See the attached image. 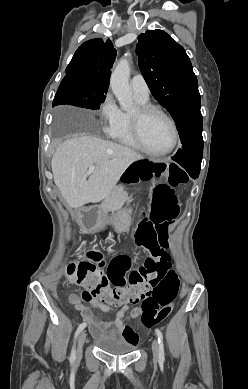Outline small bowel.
Returning a JSON list of instances; mask_svg holds the SVG:
<instances>
[{
    "mask_svg": "<svg viewBox=\"0 0 248 389\" xmlns=\"http://www.w3.org/2000/svg\"><path fill=\"white\" fill-rule=\"evenodd\" d=\"M135 261L136 263H139L140 259L135 257ZM117 290L124 291L125 289L118 287ZM69 300L75 306V308L80 311L82 317L89 323L92 330L101 329L104 333L109 335H124L134 344H138L139 338L137 333L130 326L125 325L122 321L125 313L129 310V304H133L135 302L131 301L118 305L115 310V317L113 320L108 322H100L96 319L91 310L82 304L80 298L77 295H70ZM89 304L91 307L100 309L104 312H110V306L113 305L102 298H95L89 301ZM139 315L140 308H135L130 313L131 318H137Z\"/></svg>",
    "mask_w": 248,
    "mask_h": 389,
    "instance_id": "obj_1",
    "label": "small bowel"
}]
</instances>
